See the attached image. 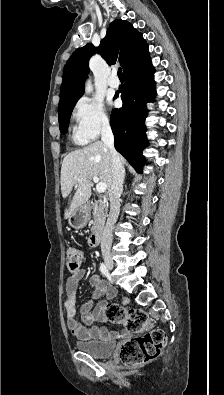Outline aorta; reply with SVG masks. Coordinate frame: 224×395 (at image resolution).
Listing matches in <instances>:
<instances>
[{
	"mask_svg": "<svg viewBox=\"0 0 224 395\" xmlns=\"http://www.w3.org/2000/svg\"><path fill=\"white\" fill-rule=\"evenodd\" d=\"M85 91L87 94L91 93L93 91V87L92 84L90 82V80L87 81L86 85H85Z\"/></svg>",
	"mask_w": 224,
	"mask_h": 395,
	"instance_id": "aorta-1",
	"label": "aorta"
}]
</instances>
